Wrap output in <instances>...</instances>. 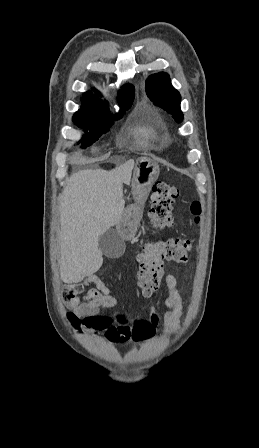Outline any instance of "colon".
I'll list each match as a JSON object with an SVG mask.
<instances>
[{
    "instance_id": "obj_1",
    "label": "colon",
    "mask_w": 259,
    "mask_h": 448,
    "mask_svg": "<svg viewBox=\"0 0 259 448\" xmlns=\"http://www.w3.org/2000/svg\"><path fill=\"white\" fill-rule=\"evenodd\" d=\"M178 194L179 190L175 185L166 181L155 183L149 209L150 221L155 228L164 229L173 224L172 210ZM190 209L198 221L201 214L200 203L194 201ZM190 247V242L183 237L149 242L143 246L142 252L137 256V283L144 296H149L160 288L165 263L178 264L187 261ZM68 293L69 289L65 291V297ZM69 319L74 325H79V320L71 313Z\"/></svg>"
}]
</instances>
